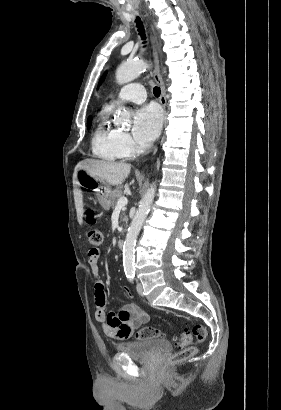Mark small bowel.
<instances>
[{"label": "small bowel", "mask_w": 281, "mask_h": 410, "mask_svg": "<svg viewBox=\"0 0 281 410\" xmlns=\"http://www.w3.org/2000/svg\"><path fill=\"white\" fill-rule=\"evenodd\" d=\"M88 257L90 270L95 279V317L97 321L102 323V328L106 335L115 339L126 340L131 337L134 328L149 321V314L134 303L124 305L117 313L111 311L107 314V298L104 291L105 284L100 278L98 266L100 258L99 249L91 248L89 250ZM123 291L126 297H132V293L128 287H125Z\"/></svg>", "instance_id": "obj_1"}]
</instances>
